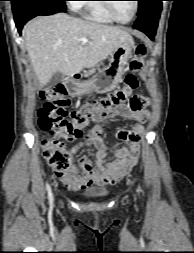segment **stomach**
Listing matches in <instances>:
<instances>
[{
  "mask_svg": "<svg viewBox=\"0 0 194 253\" xmlns=\"http://www.w3.org/2000/svg\"><path fill=\"white\" fill-rule=\"evenodd\" d=\"M133 43L124 42L113 51L109 64L87 81L80 78H70L67 81L69 92L72 95H84L92 91L106 93L116 88L122 79L124 67L132 55Z\"/></svg>",
  "mask_w": 194,
  "mask_h": 253,
  "instance_id": "stomach-1",
  "label": "stomach"
}]
</instances>
